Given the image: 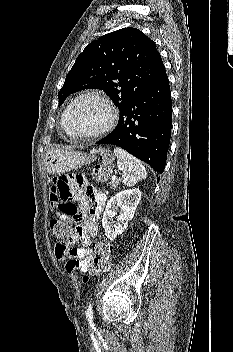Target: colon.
Masks as SVG:
<instances>
[{"label": "colon", "instance_id": "obj_1", "mask_svg": "<svg viewBox=\"0 0 233 352\" xmlns=\"http://www.w3.org/2000/svg\"><path fill=\"white\" fill-rule=\"evenodd\" d=\"M112 156L107 151L100 152V163L95 167L93 176L98 181L105 180L111 170ZM68 214L74 213L75 205L69 204L62 207ZM72 230L71 223L61 219H53L50 222V231L62 246H66ZM94 256L90 264L84 270L83 280L86 282L90 277L98 276L107 272L112 263V247L108 241H97L93 245Z\"/></svg>", "mask_w": 233, "mask_h": 352}]
</instances>
